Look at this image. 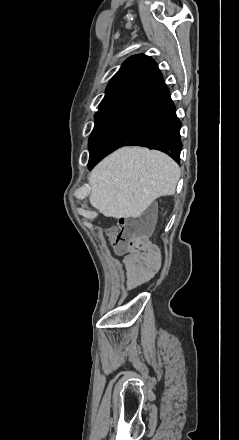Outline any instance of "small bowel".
Here are the masks:
<instances>
[{"label": "small bowel", "mask_w": 239, "mask_h": 440, "mask_svg": "<svg viewBox=\"0 0 239 440\" xmlns=\"http://www.w3.org/2000/svg\"><path fill=\"white\" fill-rule=\"evenodd\" d=\"M124 252L126 286L129 290L150 280L160 268L161 253L149 243L139 247H130Z\"/></svg>", "instance_id": "c3829d8e"}]
</instances>
